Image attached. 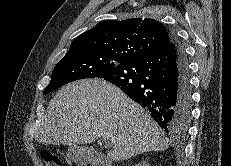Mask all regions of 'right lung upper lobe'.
Segmentation results:
<instances>
[{"instance_id":"right-lung-upper-lobe-1","label":"right lung upper lobe","mask_w":231,"mask_h":166,"mask_svg":"<svg viewBox=\"0 0 231 166\" xmlns=\"http://www.w3.org/2000/svg\"><path fill=\"white\" fill-rule=\"evenodd\" d=\"M171 38L166 27L153 19L104 20L76 37L68 53L94 50L130 61L161 50Z\"/></svg>"}]
</instances>
